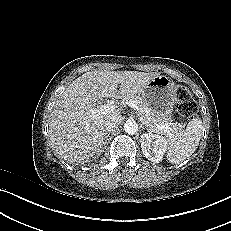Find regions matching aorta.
Returning a JSON list of instances; mask_svg holds the SVG:
<instances>
[{
    "instance_id": "aorta-1",
    "label": "aorta",
    "mask_w": 231,
    "mask_h": 231,
    "mask_svg": "<svg viewBox=\"0 0 231 231\" xmlns=\"http://www.w3.org/2000/svg\"><path fill=\"white\" fill-rule=\"evenodd\" d=\"M124 130L127 134L133 135L138 131V124L134 120H127L124 124Z\"/></svg>"
}]
</instances>
